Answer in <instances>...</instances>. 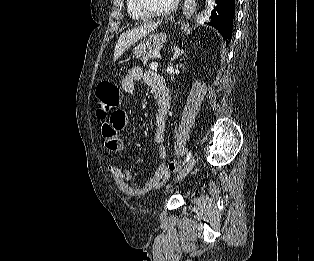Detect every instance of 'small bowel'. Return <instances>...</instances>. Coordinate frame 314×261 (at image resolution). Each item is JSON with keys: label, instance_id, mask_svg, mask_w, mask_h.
Returning a JSON list of instances; mask_svg holds the SVG:
<instances>
[{"label": "small bowel", "instance_id": "1", "mask_svg": "<svg viewBox=\"0 0 314 261\" xmlns=\"http://www.w3.org/2000/svg\"><path fill=\"white\" fill-rule=\"evenodd\" d=\"M158 74L154 72L143 73L142 69L134 66L129 69L126 76L121 82L123 91L126 94H132L135 90V85L143 79L145 83L155 89ZM129 122V117L126 114V109H113V113L109 114L108 120L104 121L101 135L105 140L106 151H121L123 149L122 135L123 128ZM166 128V113L158 111L154 118V141L158 146L159 165L154 175L143 185L134 186L131 184L132 172L129 169H122L119 165L110 164L108 170L114 178L118 188L122 193L128 196H141L152 189L160 186L169 176V170L166 164L167 151L163 145L164 134Z\"/></svg>", "mask_w": 314, "mask_h": 261}]
</instances>
